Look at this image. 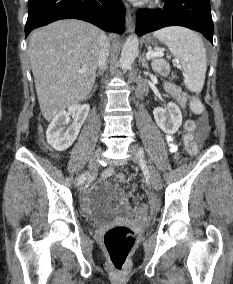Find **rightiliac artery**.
<instances>
[{
    "label": "right iliac artery",
    "instance_id": "1",
    "mask_svg": "<svg viewBox=\"0 0 233 284\" xmlns=\"http://www.w3.org/2000/svg\"><path fill=\"white\" fill-rule=\"evenodd\" d=\"M83 175H84V174H82V175L80 176V178H79V180H78V184L83 181V179H82V176H83Z\"/></svg>",
    "mask_w": 233,
    "mask_h": 284
}]
</instances>
